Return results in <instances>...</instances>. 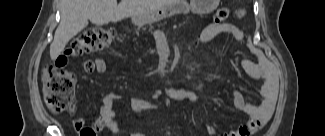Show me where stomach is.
I'll return each mask as SVG.
<instances>
[{"label":"stomach","instance_id":"1","mask_svg":"<svg viewBox=\"0 0 325 136\" xmlns=\"http://www.w3.org/2000/svg\"><path fill=\"white\" fill-rule=\"evenodd\" d=\"M219 0H192L190 6L184 0H176L171 5H164L152 12L133 16L132 21L137 25L152 23L170 15H178V13H187L190 9L197 14H206L213 11Z\"/></svg>","mask_w":325,"mask_h":136}]
</instances>
